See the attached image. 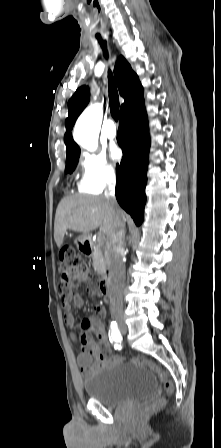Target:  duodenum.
<instances>
[{"instance_id":"duodenum-1","label":"duodenum","mask_w":221,"mask_h":448,"mask_svg":"<svg viewBox=\"0 0 221 448\" xmlns=\"http://www.w3.org/2000/svg\"><path fill=\"white\" fill-rule=\"evenodd\" d=\"M80 250L85 256H91L93 253L92 248V239L88 236L83 237L80 245ZM111 273L109 270H106L103 274L100 276V280L98 283L100 293L107 297L109 296L110 289H111V280H110Z\"/></svg>"}]
</instances>
